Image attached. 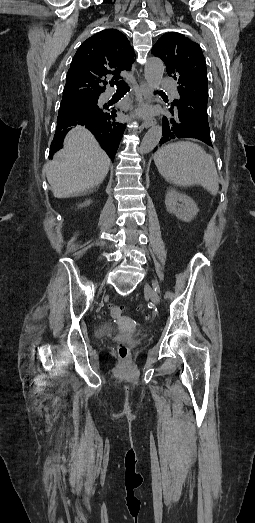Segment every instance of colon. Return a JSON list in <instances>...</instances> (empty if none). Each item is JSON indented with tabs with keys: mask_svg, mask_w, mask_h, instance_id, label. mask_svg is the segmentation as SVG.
<instances>
[{
	"mask_svg": "<svg viewBox=\"0 0 255 523\" xmlns=\"http://www.w3.org/2000/svg\"><path fill=\"white\" fill-rule=\"evenodd\" d=\"M126 311V307L122 306H113L111 308V314L113 317H120ZM117 352L120 357L125 358L128 355V347L125 343H119L117 347Z\"/></svg>",
	"mask_w": 255,
	"mask_h": 523,
	"instance_id": "obj_1",
	"label": "colon"
}]
</instances>
